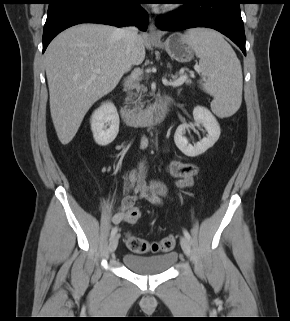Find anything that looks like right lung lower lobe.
Returning <instances> with one entry per match:
<instances>
[{"label":"right lung lower lobe","instance_id":"1","mask_svg":"<svg viewBox=\"0 0 290 321\" xmlns=\"http://www.w3.org/2000/svg\"><path fill=\"white\" fill-rule=\"evenodd\" d=\"M142 0H50L43 31V52L61 31L80 23H102L117 27L148 26Z\"/></svg>","mask_w":290,"mask_h":321}]
</instances>
